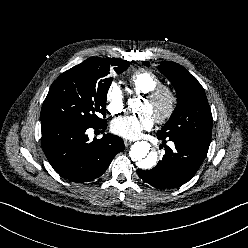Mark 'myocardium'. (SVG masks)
Masks as SVG:
<instances>
[{
	"label": "myocardium",
	"mask_w": 248,
	"mask_h": 248,
	"mask_svg": "<svg viewBox=\"0 0 248 248\" xmlns=\"http://www.w3.org/2000/svg\"><path fill=\"white\" fill-rule=\"evenodd\" d=\"M145 99L151 102H158L162 99L166 101L165 111L161 115L154 118L155 122L158 124L167 122L176 111L178 98L174 90L168 86L160 85L156 87L152 91L145 94Z\"/></svg>",
	"instance_id": "myocardium-1"
}]
</instances>
